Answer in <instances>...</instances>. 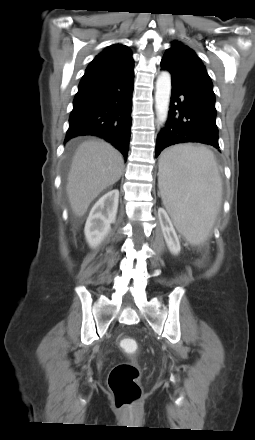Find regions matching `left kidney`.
<instances>
[{
  "mask_svg": "<svg viewBox=\"0 0 255 440\" xmlns=\"http://www.w3.org/2000/svg\"><path fill=\"white\" fill-rule=\"evenodd\" d=\"M159 215H161V218L163 219L162 231L167 247L172 254L177 255L179 254L181 247L175 229L165 211L160 209Z\"/></svg>",
  "mask_w": 255,
  "mask_h": 440,
  "instance_id": "left-kidney-1",
  "label": "left kidney"
}]
</instances>
